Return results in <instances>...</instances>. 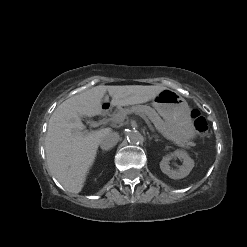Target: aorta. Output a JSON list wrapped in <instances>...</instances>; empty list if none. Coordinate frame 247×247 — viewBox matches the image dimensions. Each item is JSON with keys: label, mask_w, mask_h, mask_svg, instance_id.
<instances>
[{"label": "aorta", "mask_w": 247, "mask_h": 247, "mask_svg": "<svg viewBox=\"0 0 247 247\" xmlns=\"http://www.w3.org/2000/svg\"><path fill=\"white\" fill-rule=\"evenodd\" d=\"M127 140L132 145H138L144 141V137L138 130H130L127 133Z\"/></svg>", "instance_id": "1"}]
</instances>
